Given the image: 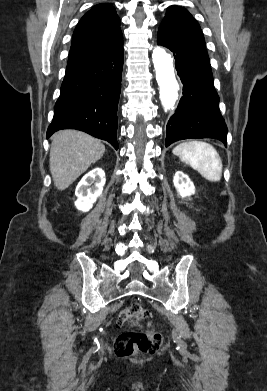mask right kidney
<instances>
[{
  "mask_svg": "<svg viewBox=\"0 0 267 391\" xmlns=\"http://www.w3.org/2000/svg\"><path fill=\"white\" fill-rule=\"evenodd\" d=\"M105 185V173L101 168L88 172L78 183L75 195V206L83 212L89 211L97 198L102 194Z\"/></svg>",
  "mask_w": 267,
  "mask_h": 391,
  "instance_id": "right-kidney-1",
  "label": "right kidney"
}]
</instances>
